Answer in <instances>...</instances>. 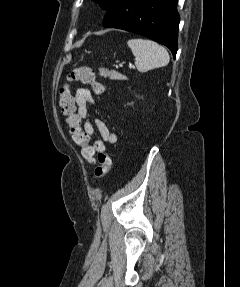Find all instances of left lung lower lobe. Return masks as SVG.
Here are the masks:
<instances>
[{"mask_svg":"<svg viewBox=\"0 0 240 287\" xmlns=\"http://www.w3.org/2000/svg\"><path fill=\"white\" fill-rule=\"evenodd\" d=\"M177 0H111L103 26L134 32L167 46L175 58L179 14Z\"/></svg>","mask_w":240,"mask_h":287,"instance_id":"0a47b994","label":"left lung lower lobe"}]
</instances>
